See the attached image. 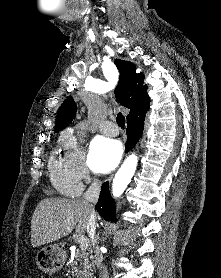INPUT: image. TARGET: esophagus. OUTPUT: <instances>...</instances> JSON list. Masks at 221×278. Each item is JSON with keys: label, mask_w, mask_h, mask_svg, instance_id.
<instances>
[{"label": "esophagus", "mask_w": 221, "mask_h": 278, "mask_svg": "<svg viewBox=\"0 0 221 278\" xmlns=\"http://www.w3.org/2000/svg\"><path fill=\"white\" fill-rule=\"evenodd\" d=\"M113 178V176H111L110 178H109V180H111Z\"/></svg>", "instance_id": "esophagus-1"}]
</instances>
